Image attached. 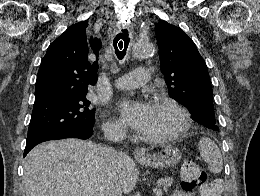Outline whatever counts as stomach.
Wrapping results in <instances>:
<instances>
[{
  "mask_svg": "<svg viewBox=\"0 0 260 196\" xmlns=\"http://www.w3.org/2000/svg\"><path fill=\"white\" fill-rule=\"evenodd\" d=\"M181 152L174 146H162V150L155 156H148L147 160H137L147 168H173L181 160Z\"/></svg>",
  "mask_w": 260,
  "mask_h": 196,
  "instance_id": "1",
  "label": "stomach"
}]
</instances>
